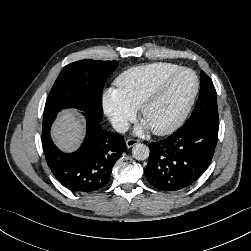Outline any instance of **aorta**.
Wrapping results in <instances>:
<instances>
[{"mask_svg": "<svg viewBox=\"0 0 251 251\" xmlns=\"http://www.w3.org/2000/svg\"><path fill=\"white\" fill-rule=\"evenodd\" d=\"M149 153V148L145 144L138 143L132 148V155L136 160H146Z\"/></svg>", "mask_w": 251, "mask_h": 251, "instance_id": "1", "label": "aorta"}]
</instances>
